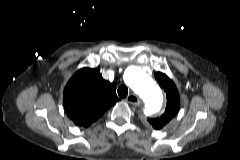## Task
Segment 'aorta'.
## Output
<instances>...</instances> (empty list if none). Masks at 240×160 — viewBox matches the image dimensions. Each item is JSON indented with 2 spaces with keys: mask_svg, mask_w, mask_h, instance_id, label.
Returning <instances> with one entry per match:
<instances>
[{
  "mask_svg": "<svg viewBox=\"0 0 240 160\" xmlns=\"http://www.w3.org/2000/svg\"><path fill=\"white\" fill-rule=\"evenodd\" d=\"M127 84L140 96L144 105V113H158L163 105L161 89L154 80L141 68L131 66L124 74Z\"/></svg>",
  "mask_w": 240,
  "mask_h": 160,
  "instance_id": "obj_1",
  "label": "aorta"
}]
</instances>
